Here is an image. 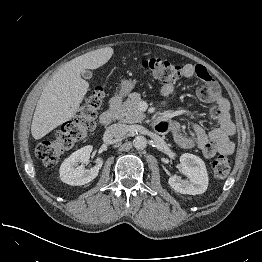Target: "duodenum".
<instances>
[{
  "label": "duodenum",
  "mask_w": 262,
  "mask_h": 262,
  "mask_svg": "<svg viewBox=\"0 0 262 262\" xmlns=\"http://www.w3.org/2000/svg\"><path fill=\"white\" fill-rule=\"evenodd\" d=\"M122 98L120 96H114L109 102V108L104 111L100 116V123L104 126L110 125L117 115L119 105Z\"/></svg>",
  "instance_id": "410a0bca"
}]
</instances>
